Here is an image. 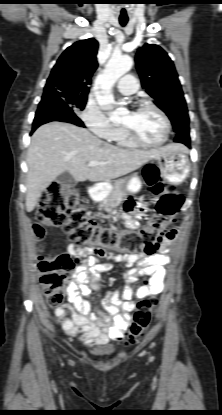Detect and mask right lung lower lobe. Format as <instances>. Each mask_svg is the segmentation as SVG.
<instances>
[{"instance_id":"obj_1","label":"right lung lower lobe","mask_w":222,"mask_h":415,"mask_svg":"<svg viewBox=\"0 0 222 415\" xmlns=\"http://www.w3.org/2000/svg\"><path fill=\"white\" fill-rule=\"evenodd\" d=\"M62 121L85 127L83 122L75 115L73 110L59 96L53 95L42 104H39L35 114L32 132L40 125L51 122Z\"/></svg>"}]
</instances>
